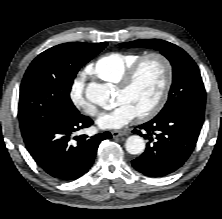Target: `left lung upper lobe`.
<instances>
[{
  "instance_id": "5c2ea615",
  "label": "left lung upper lobe",
  "mask_w": 222,
  "mask_h": 219,
  "mask_svg": "<svg viewBox=\"0 0 222 219\" xmlns=\"http://www.w3.org/2000/svg\"><path fill=\"white\" fill-rule=\"evenodd\" d=\"M125 48H150L160 51L172 64L173 83L168 101L158 115L176 108L204 114L206 92L200 71L193 59L180 47L160 39L121 43Z\"/></svg>"
}]
</instances>
